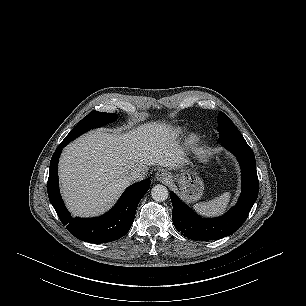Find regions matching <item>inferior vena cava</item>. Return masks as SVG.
Returning a JSON list of instances; mask_svg holds the SVG:
<instances>
[{
    "instance_id": "1",
    "label": "inferior vena cava",
    "mask_w": 306,
    "mask_h": 306,
    "mask_svg": "<svg viewBox=\"0 0 306 306\" xmlns=\"http://www.w3.org/2000/svg\"><path fill=\"white\" fill-rule=\"evenodd\" d=\"M146 169L141 168V167H136L133 170H131V172L129 173V180L131 181H138V180H142L143 178H145L146 174H147Z\"/></svg>"
}]
</instances>
